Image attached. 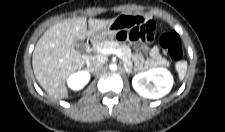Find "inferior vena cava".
I'll return each mask as SVG.
<instances>
[{
	"label": "inferior vena cava",
	"instance_id": "1",
	"mask_svg": "<svg viewBox=\"0 0 225 132\" xmlns=\"http://www.w3.org/2000/svg\"><path fill=\"white\" fill-rule=\"evenodd\" d=\"M104 62H105L104 58H102L100 56H92L87 59L86 64H87L89 71L92 72L94 70L99 69Z\"/></svg>",
	"mask_w": 225,
	"mask_h": 132
}]
</instances>
